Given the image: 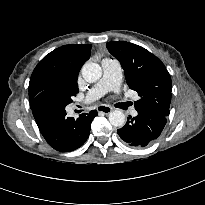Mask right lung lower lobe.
Wrapping results in <instances>:
<instances>
[{
    "label": "right lung lower lobe",
    "instance_id": "obj_1",
    "mask_svg": "<svg viewBox=\"0 0 205 205\" xmlns=\"http://www.w3.org/2000/svg\"><path fill=\"white\" fill-rule=\"evenodd\" d=\"M29 102L41 134L57 151H73L89 137L91 122L97 116V111L82 114L77 119L67 117L65 107L72 99L62 90H45Z\"/></svg>",
    "mask_w": 205,
    "mask_h": 205
}]
</instances>
